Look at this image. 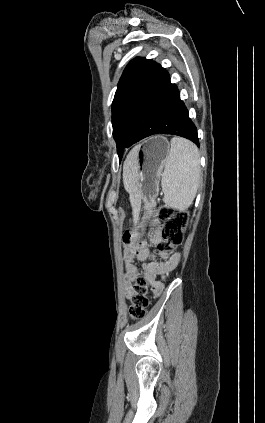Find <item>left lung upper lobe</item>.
I'll use <instances>...</instances> for the list:
<instances>
[{
	"label": "left lung upper lobe",
	"instance_id": "obj_1",
	"mask_svg": "<svg viewBox=\"0 0 265 423\" xmlns=\"http://www.w3.org/2000/svg\"><path fill=\"white\" fill-rule=\"evenodd\" d=\"M153 63L152 60L137 57L129 62L119 80L112 103L113 136L119 159L122 158L126 126L134 99Z\"/></svg>",
	"mask_w": 265,
	"mask_h": 423
}]
</instances>
